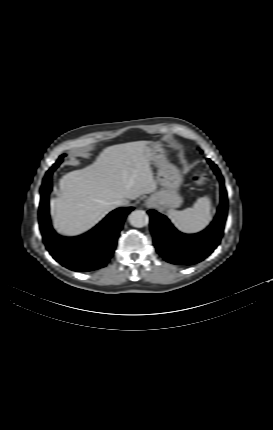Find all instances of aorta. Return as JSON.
I'll list each match as a JSON object with an SVG mask.
<instances>
[{"label":"aorta","instance_id":"1","mask_svg":"<svg viewBox=\"0 0 273 430\" xmlns=\"http://www.w3.org/2000/svg\"><path fill=\"white\" fill-rule=\"evenodd\" d=\"M129 222L132 226L142 228L149 223V216L143 210H135L129 216Z\"/></svg>","mask_w":273,"mask_h":430}]
</instances>
